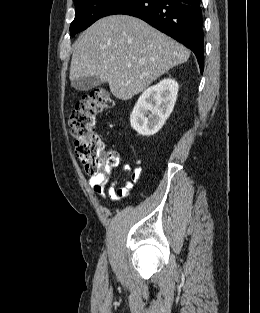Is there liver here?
<instances>
[{"mask_svg": "<svg viewBox=\"0 0 260 313\" xmlns=\"http://www.w3.org/2000/svg\"><path fill=\"white\" fill-rule=\"evenodd\" d=\"M189 57L186 47L141 19L112 15L78 38L69 77H97L109 84L116 98L129 100Z\"/></svg>", "mask_w": 260, "mask_h": 313, "instance_id": "obj_1", "label": "liver"}]
</instances>
